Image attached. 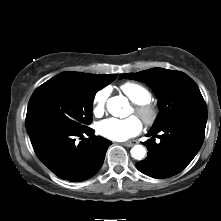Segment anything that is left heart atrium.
<instances>
[{"instance_id":"left-heart-atrium-1","label":"left heart atrium","mask_w":221,"mask_h":221,"mask_svg":"<svg viewBox=\"0 0 221 221\" xmlns=\"http://www.w3.org/2000/svg\"><path fill=\"white\" fill-rule=\"evenodd\" d=\"M141 121L131 116L127 119L108 118L97 124L100 135L114 141H125L140 133Z\"/></svg>"}]
</instances>
